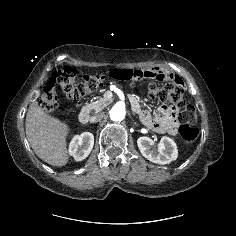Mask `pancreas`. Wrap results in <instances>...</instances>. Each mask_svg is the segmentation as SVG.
Listing matches in <instances>:
<instances>
[{"label":"pancreas","instance_id":"cf45deb5","mask_svg":"<svg viewBox=\"0 0 236 236\" xmlns=\"http://www.w3.org/2000/svg\"><path fill=\"white\" fill-rule=\"evenodd\" d=\"M112 102V99H108V98H99L98 100L91 102L87 105H85V109L88 111H95V112H99L102 109H104L107 105H109Z\"/></svg>","mask_w":236,"mask_h":236}]
</instances>
